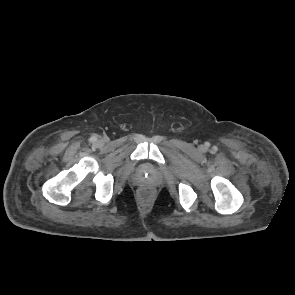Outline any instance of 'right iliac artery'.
Returning <instances> with one entry per match:
<instances>
[{"instance_id":"obj_1","label":"right iliac artery","mask_w":295,"mask_h":295,"mask_svg":"<svg viewBox=\"0 0 295 295\" xmlns=\"http://www.w3.org/2000/svg\"><path fill=\"white\" fill-rule=\"evenodd\" d=\"M95 140H96V138H95V137H92V138H91V141H95Z\"/></svg>"}]
</instances>
